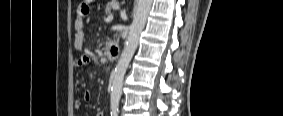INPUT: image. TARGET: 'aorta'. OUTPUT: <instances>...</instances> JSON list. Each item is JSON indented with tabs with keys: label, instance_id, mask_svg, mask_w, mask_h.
Masks as SVG:
<instances>
[{
	"label": "aorta",
	"instance_id": "aorta-1",
	"mask_svg": "<svg viewBox=\"0 0 283 116\" xmlns=\"http://www.w3.org/2000/svg\"><path fill=\"white\" fill-rule=\"evenodd\" d=\"M151 6L152 0H137L133 22L130 25L124 49L113 74L110 95L111 103H118L120 100L124 75L138 47L139 37L145 27Z\"/></svg>",
	"mask_w": 283,
	"mask_h": 116
}]
</instances>
